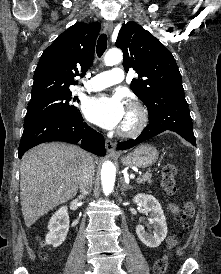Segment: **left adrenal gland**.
<instances>
[{"instance_id":"obj_1","label":"left adrenal gland","mask_w":221,"mask_h":274,"mask_svg":"<svg viewBox=\"0 0 221 274\" xmlns=\"http://www.w3.org/2000/svg\"><path fill=\"white\" fill-rule=\"evenodd\" d=\"M128 189H133L131 185H127L124 179L121 180V185H120V190L122 192L128 190Z\"/></svg>"}]
</instances>
